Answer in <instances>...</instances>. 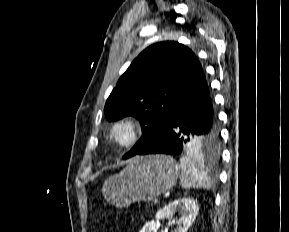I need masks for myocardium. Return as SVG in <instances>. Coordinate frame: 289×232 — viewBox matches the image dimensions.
<instances>
[{"label":"myocardium","mask_w":289,"mask_h":232,"mask_svg":"<svg viewBox=\"0 0 289 232\" xmlns=\"http://www.w3.org/2000/svg\"><path fill=\"white\" fill-rule=\"evenodd\" d=\"M125 128L128 130V137L124 140H120L117 136V132ZM145 128L143 123L133 116H124L116 119L110 128V138L114 143L120 147L128 148L137 144L143 137Z\"/></svg>","instance_id":"f54148a6"}]
</instances>
